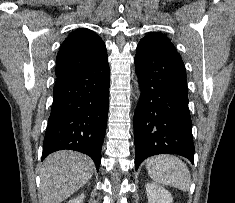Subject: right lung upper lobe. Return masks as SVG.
Instances as JSON below:
<instances>
[{"label":"right lung upper lobe","instance_id":"1","mask_svg":"<svg viewBox=\"0 0 235 203\" xmlns=\"http://www.w3.org/2000/svg\"><path fill=\"white\" fill-rule=\"evenodd\" d=\"M107 56L106 46L93 31L81 28L62 43L56 58V82L63 81Z\"/></svg>","mask_w":235,"mask_h":203}]
</instances>
